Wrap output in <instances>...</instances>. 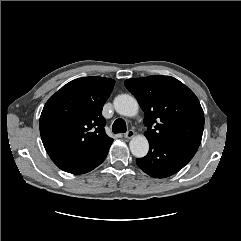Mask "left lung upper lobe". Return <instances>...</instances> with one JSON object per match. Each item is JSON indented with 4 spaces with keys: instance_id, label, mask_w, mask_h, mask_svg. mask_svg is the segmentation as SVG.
Wrapping results in <instances>:
<instances>
[{
    "instance_id": "left-lung-upper-lobe-1",
    "label": "left lung upper lobe",
    "mask_w": 241,
    "mask_h": 241,
    "mask_svg": "<svg viewBox=\"0 0 241 241\" xmlns=\"http://www.w3.org/2000/svg\"><path fill=\"white\" fill-rule=\"evenodd\" d=\"M124 84L144 111L147 138L200 145L204 113L187 86L174 77L161 75L127 79Z\"/></svg>"
}]
</instances>
